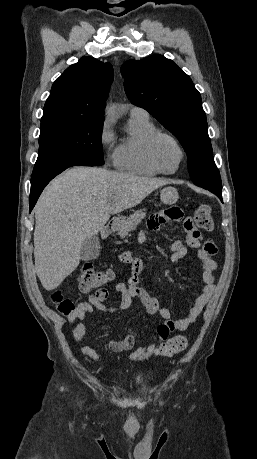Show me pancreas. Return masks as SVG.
<instances>
[{"label": "pancreas", "mask_w": 257, "mask_h": 459, "mask_svg": "<svg viewBox=\"0 0 257 459\" xmlns=\"http://www.w3.org/2000/svg\"><path fill=\"white\" fill-rule=\"evenodd\" d=\"M145 210H137L134 214L130 215V217L124 222V224L119 229V235L121 237L127 236L131 231L135 230V228L140 224L141 220L145 218L146 213Z\"/></svg>", "instance_id": "1"}]
</instances>
